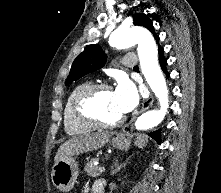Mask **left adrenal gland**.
Returning <instances> with one entry per match:
<instances>
[{
    "mask_svg": "<svg viewBox=\"0 0 221 193\" xmlns=\"http://www.w3.org/2000/svg\"><path fill=\"white\" fill-rule=\"evenodd\" d=\"M130 157H131V156H130ZM130 157L127 158L126 162L123 163V164H119V163H118V160H116L115 165H114V166H115V169L112 171V174H116L117 172H119V171L121 170V168L125 167L126 164H127V162H128V160L130 159Z\"/></svg>",
    "mask_w": 221,
    "mask_h": 193,
    "instance_id": "1",
    "label": "left adrenal gland"
}]
</instances>
